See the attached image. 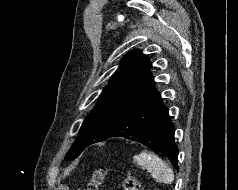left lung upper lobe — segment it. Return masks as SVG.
<instances>
[{"instance_id":"obj_1","label":"left lung upper lobe","mask_w":238,"mask_h":190,"mask_svg":"<svg viewBox=\"0 0 238 190\" xmlns=\"http://www.w3.org/2000/svg\"><path fill=\"white\" fill-rule=\"evenodd\" d=\"M150 68L147 55L139 50L130 51L122 58L95 108L84 120L66 160L75 159L87 146L102 141L110 133L123 112L155 83Z\"/></svg>"}]
</instances>
